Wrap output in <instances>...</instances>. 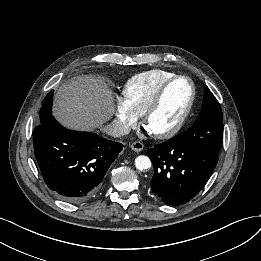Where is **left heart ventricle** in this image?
Segmentation results:
<instances>
[{
	"mask_svg": "<svg viewBox=\"0 0 261 261\" xmlns=\"http://www.w3.org/2000/svg\"><path fill=\"white\" fill-rule=\"evenodd\" d=\"M191 97L188 80L180 79L168 89L159 109L149 120V129L162 132L172 128L181 118Z\"/></svg>",
	"mask_w": 261,
	"mask_h": 261,
	"instance_id": "obj_1",
	"label": "left heart ventricle"
}]
</instances>
